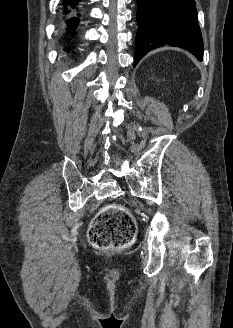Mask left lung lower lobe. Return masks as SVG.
Listing matches in <instances>:
<instances>
[{
	"instance_id": "obj_1",
	"label": "left lung lower lobe",
	"mask_w": 233,
	"mask_h": 328,
	"mask_svg": "<svg viewBox=\"0 0 233 328\" xmlns=\"http://www.w3.org/2000/svg\"><path fill=\"white\" fill-rule=\"evenodd\" d=\"M196 21L194 0H137L134 66L149 51L166 44L184 48L201 61L203 41Z\"/></svg>"
}]
</instances>
